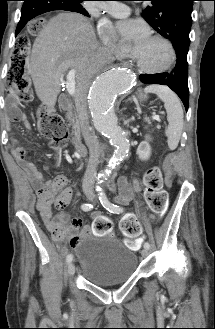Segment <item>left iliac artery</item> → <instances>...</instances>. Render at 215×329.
I'll list each match as a JSON object with an SVG mask.
<instances>
[{
	"label": "left iliac artery",
	"mask_w": 215,
	"mask_h": 329,
	"mask_svg": "<svg viewBox=\"0 0 215 329\" xmlns=\"http://www.w3.org/2000/svg\"><path fill=\"white\" fill-rule=\"evenodd\" d=\"M99 200H100L102 206H103L106 210H108L109 212H111V213L119 214V213H121V212L123 211L122 208H120L119 206H117V205L111 203V202L108 200V198H107L105 192H104L103 190H101V189L99 190ZM144 248L149 249V248H150V244H149L148 242H145V244H144Z\"/></svg>",
	"instance_id": "obj_1"
}]
</instances>
